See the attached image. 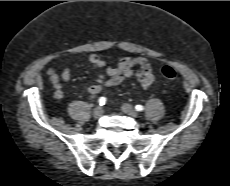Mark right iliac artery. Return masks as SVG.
<instances>
[{
	"instance_id": "82829eb1",
	"label": "right iliac artery",
	"mask_w": 230,
	"mask_h": 186,
	"mask_svg": "<svg viewBox=\"0 0 230 186\" xmlns=\"http://www.w3.org/2000/svg\"><path fill=\"white\" fill-rule=\"evenodd\" d=\"M99 105H104L106 103V98L105 97H100L98 100Z\"/></svg>"
}]
</instances>
